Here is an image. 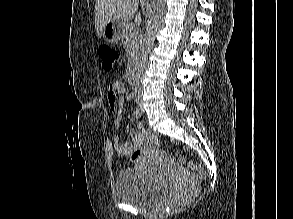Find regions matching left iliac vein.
<instances>
[{"mask_svg": "<svg viewBox=\"0 0 293 219\" xmlns=\"http://www.w3.org/2000/svg\"><path fill=\"white\" fill-rule=\"evenodd\" d=\"M139 107H140V110H141V112H142V113H145V111H144V109H143V107H142V104H141V103H139Z\"/></svg>", "mask_w": 293, "mask_h": 219, "instance_id": "obj_1", "label": "left iliac vein"}]
</instances>
